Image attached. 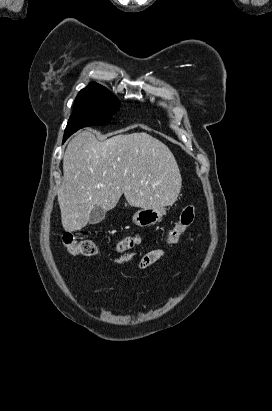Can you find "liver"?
Returning a JSON list of instances; mask_svg holds the SVG:
<instances>
[{"label": "liver", "mask_w": 272, "mask_h": 411, "mask_svg": "<svg viewBox=\"0 0 272 411\" xmlns=\"http://www.w3.org/2000/svg\"><path fill=\"white\" fill-rule=\"evenodd\" d=\"M63 183L58 190L62 226L84 228L95 206L116 207L124 194L132 207L172 205L181 190V174L170 149L151 135L118 134L98 141L78 133L63 155Z\"/></svg>", "instance_id": "1"}]
</instances>
